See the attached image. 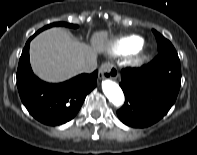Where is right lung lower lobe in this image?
I'll return each mask as SVG.
<instances>
[{
	"instance_id": "1",
	"label": "right lung lower lobe",
	"mask_w": 197,
	"mask_h": 155,
	"mask_svg": "<svg viewBox=\"0 0 197 155\" xmlns=\"http://www.w3.org/2000/svg\"><path fill=\"white\" fill-rule=\"evenodd\" d=\"M26 43L17 69V87L20 98L29 113L38 121L51 126L64 124L77 114L86 95L97 85L98 72L81 74L58 84L37 78L29 61L30 41Z\"/></svg>"
}]
</instances>
